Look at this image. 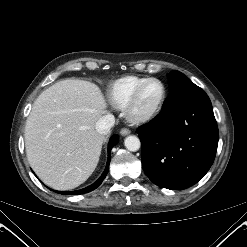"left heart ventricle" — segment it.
Masks as SVG:
<instances>
[{
    "mask_svg": "<svg viewBox=\"0 0 247 247\" xmlns=\"http://www.w3.org/2000/svg\"><path fill=\"white\" fill-rule=\"evenodd\" d=\"M162 96V87L157 82H151L142 90L134 107V112L139 115L147 114L154 110Z\"/></svg>",
    "mask_w": 247,
    "mask_h": 247,
    "instance_id": "b2bd125f",
    "label": "left heart ventricle"
}]
</instances>
